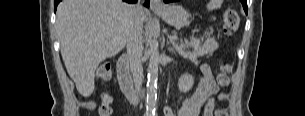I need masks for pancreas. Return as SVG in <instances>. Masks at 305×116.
Instances as JSON below:
<instances>
[{
  "instance_id": "cf45deb5",
  "label": "pancreas",
  "mask_w": 305,
  "mask_h": 116,
  "mask_svg": "<svg viewBox=\"0 0 305 116\" xmlns=\"http://www.w3.org/2000/svg\"><path fill=\"white\" fill-rule=\"evenodd\" d=\"M172 37L175 38L174 40H178V37L176 35ZM201 41H203V39L192 38L190 42H181L180 45H175V48L178 53L184 58H197L206 55L210 52L208 48L201 46ZM190 48L192 49V51L189 50Z\"/></svg>"
}]
</instances>
